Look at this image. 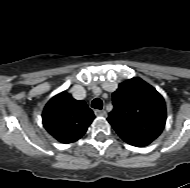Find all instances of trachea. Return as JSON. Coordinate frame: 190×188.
Instances as JSON below:
<instances>
[{
  "label": "trachea",
  "instance_id": "1",
  "mask_svg": "<svg viewBox=\"0 0 190 188\" xmlns=\"http://www.w3.org/2000/svg\"><path fill=\"white\" fill-rule=\"evenodd\" d=\"M91 107L94 109H102L103 107V102L100 98H95L92 103H91Z\"/></svg>",
  "mask_w": 190,
  "mask_h": 188
}]
</instances>
